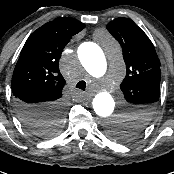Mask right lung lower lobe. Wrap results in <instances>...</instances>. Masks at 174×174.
I'll return each instance as SVG.
<instances>
[{
    "label": "right lung lower lobe",
    "instance_id": "98d812e1",
    "mask_svg": "<svg viewBox=\"0 0 174 174\" xmlns=\"http://www.w3.org/2000/svg\"><path fill=\"white\" fill-rule=\"evenodd\" d=\"M32 100L33 99L25 97V96H21V97H18V98L15 99L16 109H17L18 114L20 115V118H21V113L22 112L23 113L39 112V111L43 110L45 107H47L49 105H55V106H57V108L62 110V105L59 103V101L52 102V103H48V102H44V101L34 103V102H32ZM58 113H60V112H58Z\"/></svg>",
    "mask_w": 174,
    "mask_h": 174
}]
</instances>
